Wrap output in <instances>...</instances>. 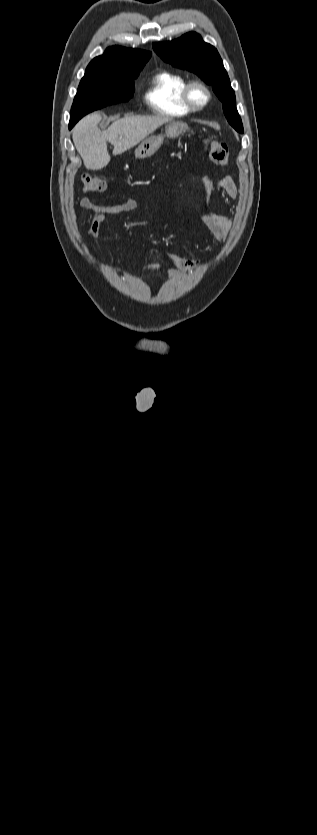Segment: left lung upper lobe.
I'll use <instances>...</instances> for the list:
<instances>
[{
	"label": "left lung upper lobe",
	"instance_id": "5c2ea615",
	"mask_svg": "<svg viewBox=\"0 0 317 835\" xmlns=\"http://www.w3.org/2000/svg\"><path fill=\"white\" fill-rule=\"evenodd\" d=\"M154 51L175 67L197 74L222 101L224 114L236 131L243 133L241 118L236 109V98L228 74L218 51L202 41L199 34L189 32L180 38L153 44Z\"/></svg>",
	"mask_w": 317,
	"mask_h": 835
}]
</instances>
